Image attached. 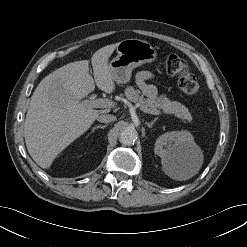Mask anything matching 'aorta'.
Wrapping results in <instances>:
<instances>
[{"label":"aorta","instance_id":"762f6f07","mask_svg":"<svg viewBox=\"0 0 247 247\" xmlns=\"http://www.w3.org/2000/svg\"><path fill=\"white\" fill-rule=\"evenodd\" d=\"M137 136L134 128L127 127L120 132L119 141L124 145H131L136 141Z\"/></svg>","mask_w":247,"mask_h":247}]
</instances>
